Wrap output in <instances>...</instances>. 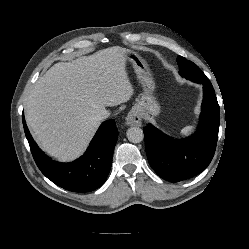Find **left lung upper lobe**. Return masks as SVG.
Returning a JSON list of instances; mask_svg holds the SVG:
<instances>
[{
    "label": "left lung upper lobe",
    "instance_id": "obj_1",
    "mask_svg": "<svg viewBox=\"0 0 249 249\" xmlns=\"http://www.w3.org/2000/svg\"><path fill=\"white\" fill-rule=\"evenodd\" d=\"M177 62L179 65V74L187 79H192L199 74H203L193 62L182 56L177 57Z\"/></svg>",
    "mask_w": 249,
    "mask_h": 249
}]
</instances>
